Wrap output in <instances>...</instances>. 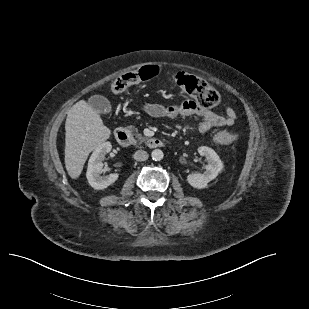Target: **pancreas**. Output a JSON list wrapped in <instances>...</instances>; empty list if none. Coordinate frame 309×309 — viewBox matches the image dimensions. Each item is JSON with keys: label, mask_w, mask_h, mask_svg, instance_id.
Instances as JSON below:
<instances>
[{"label": "pancreas", "mask_w": 309, "mask_h": 309, "mask_svg": "<svg viewBox=\"0 0 309 309\" xmlns=\"http://www.w3.org/2000/svg\"><path fill=\"white\" fill-rule=\"evenodd\" d=\"M130 130H135V136H136V138H137V141L139 142V143H143V142H145V141H147V137H145V136H142L140 133H138V130H137V128H135L134 126H129L128 127Z\"/></svg>", "instance_id": "obj_1"}]
</instances>
